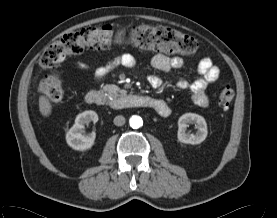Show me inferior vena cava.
I'll return each instance as SVG.
<instances>
[{"label":"inferior vena cava","mask_w":277,"mask_h":218,"mask_svg":"<svg viewBox=\"0 0 277 218\" xmlns=\"http://www.w3.org/2000/svg\"><path fill=\"white\" fill-rule=\"evenodd\" d=\"M113 122L116 126H122L125 124V117L122 115H118L114 118Z\"/></svg>","instance_id":"inferior-vena-cava-1"}]
</instances>
